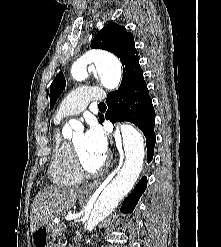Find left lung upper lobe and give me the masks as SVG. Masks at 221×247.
<instances>
[{
	"mask_svg": "<svg viewBox=\"0 0 221 247\" xmlns=\"http://www.w3.org/2000/svg\"><path fill=\"white\" fill-rule=\"evenodd\" d=\"M91 48L103 49L114 53L123 65V79L114 94L129 95L138 90H144L147 85L143 71L139 65V53L135 48L133 35L124 26L110 23L100 30L91 42ZM65 78L60 72L50 87V109L56 103L65 88Z\"/></svg>",
	"mask_w": 221,
	"mask_h": 247,
	"instance_id": "left-lung-upper-lobe-1",
	"label": "left lung upper lobe"
}]
</instances>
